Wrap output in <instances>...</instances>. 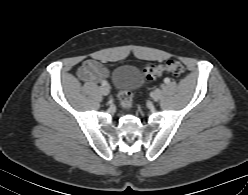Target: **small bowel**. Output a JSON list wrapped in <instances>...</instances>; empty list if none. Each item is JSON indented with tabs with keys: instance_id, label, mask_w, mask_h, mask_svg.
Masks as SVG:
<instances>
[{
	"instance_id": "obj_1",
	"label": "small bowel",
	"mask_w": 248,
	"mask_h": 195,
	"mask_svg": "<svg viewBox=\"0 0 248 195\" xmlns=\"http://www.w3.org/2000/svg\"><path fill=\"white\" fill-rule=\"evenodd\" d=\"M78 76L86 83L95 84L99 81L108 79L110 72L101 62L94 59H88L79 68Z\"/></svg>"
}]
</instances>
